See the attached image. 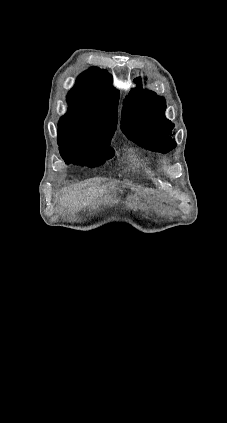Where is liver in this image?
Here are the masks:
<instances>
[{
	"instance_id": "liver-1",
	"label": "liver",
	"mask_w": 227,
	"mask_h": 423,
	"mask_svg": "<svg viewBox=\"0 0 227 423\" xmlns=\"http://www.w3.org/2000/svg\"><path fill=\"white\" fill-rule=\"evenodd\" d=\"M104 190H107L106 186H102V188L92 186V188L72 190V192L66 194L64 198H60V206L76 211L83 210V208H89V206H96L98 200L102 198L101 194H104Z\"/></svg>"
}]
</instances>
